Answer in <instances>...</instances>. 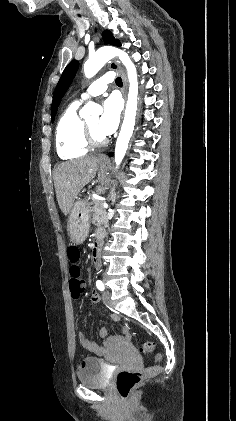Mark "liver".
<instances>
[{"label": "liver", "mask_w": 236, "mask_h": 421, "mask_svg": "<svg viewBox=\"0 0 236 421\" xmlns=\"http://www.w3.org/2000/svg\"><path fill=\"white\" fill-rule=\"evenodd\" d=\"M97 166L96 156H85L72 162H61L54 168L56 198L63 215H69L78 192L94 178Z\"/></svg>", "instance_id": "6515ba94"}]
</instances>
